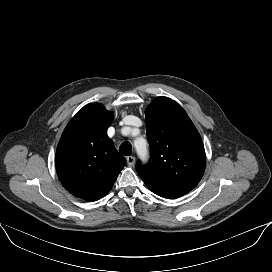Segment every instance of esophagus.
<instances>
[{
	"label": "esophagus",
	"instance_id": "obj_1",
	"mask_svg": "<svg viewBox=\"0 0 272 272\" xmlns=\"http://www.w3.org/2000/svg\"><path fill=\"white\" fill-rule=\"evenodd\" d=\"M126 160H127V164L129 166H134V164H135V157L134 156H128Z\"/></svg>",
	"mask_w": 272,
	"mask_h": 272
}]
</instances>
